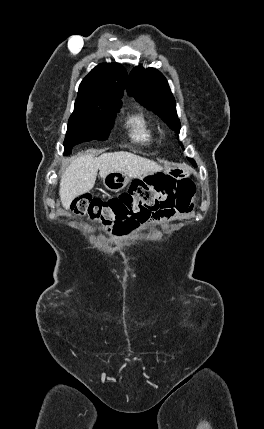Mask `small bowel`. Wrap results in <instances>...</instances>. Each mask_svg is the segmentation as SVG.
Instances as JSON below:
<instances>
[{
  "mask_svg": "<svg viewBox=\"0 0 264 429\" xmlns=\"http://www.w3.org/2000/svg\"><path fill=\"white\" fill-rule=\"evenodd\" d=\"M183 213L173 212V213H160L152 216V223H159L161 221H169L179 219Z\"/></svg>",
  "mask_w": 264,
  "mask_h": 429,
  "instance_id": "small-bowel-1",
  "label": "small bowel"
}]
</instances>
